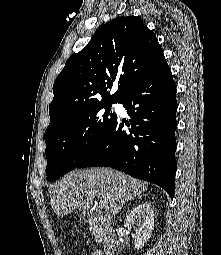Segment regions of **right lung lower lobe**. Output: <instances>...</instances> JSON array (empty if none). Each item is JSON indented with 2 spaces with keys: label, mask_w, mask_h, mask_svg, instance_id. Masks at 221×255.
<instances>
[{
  "label": "right lung lower lobe",
  "mask_w": 221,
  "mask_h": 255,
  "mask_svg": "<svg viewBox=\"0 0 221 255\" xmlns=\"http://www.w3.org/2000/svg\"><path fill=\"white\" fill-rule=\"evenodd\" d=\"M176 86L163 56L118 103L131 117L116 119L94 149L76 167L111 166L162 187L171 198L176 173ZM130 126L125 131L123 126Z\"/></svg>",
  "instance_id": "right-lung-lower-lobe-1"
}]
</instances>
